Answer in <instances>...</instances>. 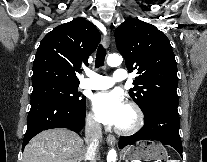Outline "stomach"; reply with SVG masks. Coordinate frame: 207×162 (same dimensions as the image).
Returning a JSON list of instances; mask_svg holds the SVG:
<instances>
[{
    "instance_id": "1",
    "label": "stomach",
    "mask_w": 207,
    "mask_h": 162,
    "mask_svg": "<svg viewBox=\"0 0 207 162\" xmlns=\"http://www.w3.org/2000/svg\"><path fill=\"white\" fill-rule=\"evenodd\" d=\"M122 157L126 162L134 160H166L168 158L167 151L161 143L153 141H140L135 145L128 146L123 152Z\"/></svg>"
}]
</instances>
